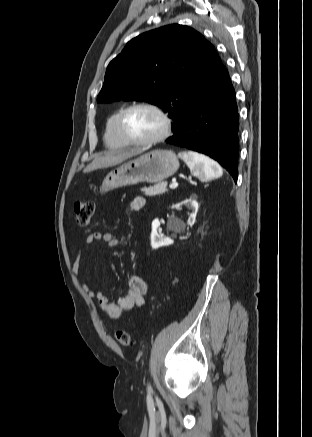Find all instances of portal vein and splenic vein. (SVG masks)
<instances>
[{"label": "portal vein and splenic vein", "mask_w": 312, "mask_h": 437, "mask_svg": "<svg viewBox=\"0 0 312 437\" xmlns=\"http://www.w3.org/2000/svg\"><path fill=\"white\" fill-rule=\"evenodd\" d=\"M178 186V183L177 182H172L171 184H170V188L171 189H173V188H176Z\"/></svg>", "instance_id": "portal-vein-and-splenic-vein-1"}]
</instances>
